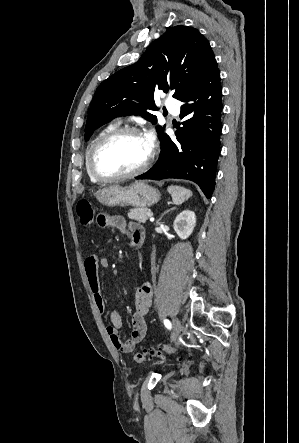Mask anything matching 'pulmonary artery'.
<instances>
[{"label":"pulmonary artery","mask_w":299,"mask_h":443,"mask_svg":"<svg viewBox=\"0 0 299 443\" xmlns=\"http://www.w3.org/2000/svg\"><path fill=\"white\" fill-rule=\"evenodd\" d=\"M166 107L172 115H178L180 111L179 103L175 98H166Z\"/></svg>","instance_id":"e3ab8cb5"}]
</instances>
